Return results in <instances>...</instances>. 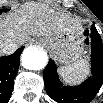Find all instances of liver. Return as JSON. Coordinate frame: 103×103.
I'll use <instances>...</instances> for the list:
<instances>
[{"mask_svg": "<svg viewBox=\"0 0 103 103\" xmlns=\"http://www.w3.org/2000/svg\"><path fill=\"white\" fill-rule=\"evenodd\" d=\"M76 28H81V25L69 15L56 12L43 3L30 1L21 10L1 19L0 40L3 45L17 44L16 48L5 53L11 54L31 36L52 37Z\"/></svg>", "mask_w": 103, "mask_h": 103, "instance_id": "1", "label": "liver"}]
</instances>
